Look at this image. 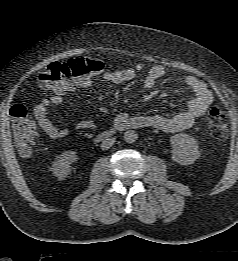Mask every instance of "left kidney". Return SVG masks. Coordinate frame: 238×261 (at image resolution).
<instances>
[{
    "label": "left kidney",
    "instance_id": "left-kidney-1",
    "mask_svg": "<svg viewBox=\"0 0 238 261\" xmlns=\"http://www.w3.org/2000/svg\"><path fill=\"white\" fill-rule=\"evenodd\" d=\"M172 159L180 165L193 164L201 155L197 141L187 134L171 137Z\"/></svg>",
    "mask_w": 238,
    "mask_h": 261
}]
</instances>
